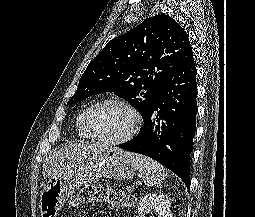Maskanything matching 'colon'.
Here are the masks:
<instances>
[{
    "instance_id": "5ec220e1",
    "label": "colon",
    "mask_w": 255,
    "mask_h": 217,
    "mask_svg": "<svg viewBox=\"0 0 255 217\" xmlns=\"http://www.w3.org/2000/svg\"><path fill=\"white\" fill-rule=\"evenodd\" d=\"M90 203H106L113 208H129L133 198L120 186L99 182L83 187L71 200V205L74 207Z\"/></svg>"
}]
</instances>
